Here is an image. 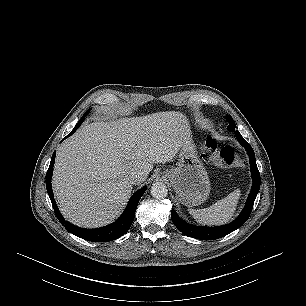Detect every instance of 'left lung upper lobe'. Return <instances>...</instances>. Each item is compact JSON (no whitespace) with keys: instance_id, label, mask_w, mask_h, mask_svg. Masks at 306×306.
Masks as SVG:
<instances>
[{"instance_id":"left-lung-upper-lobe-1","label":"left lung upper lobe","mask_w":306,"mask_h":306,"mask_svg":"<svg viewBox=\"0 0 306 306\" xmlns=\"http://www.w3.org/2000/svg\"><path fill=\"white\" fill-rule=\"evenodd\" d=\"M226 118H227V120H228L229 123H230L229 126H228V130H230V131H235V134H236L237 136L241 135V134L239 133L238 130H235L236 125H235V123H234L232 117H231V116H226Z\"/></svg>"}]
</instances>
